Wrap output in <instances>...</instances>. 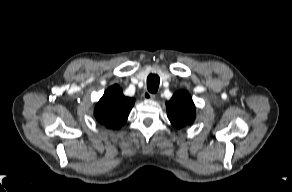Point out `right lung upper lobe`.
Masks as SVG:
<instances>
[{"mask_svg":"<svg viewBox=\"0 0 292 192\" xmlns=\"http://www.w3.org/2000/svg\"><path fill=\"white\" fill-rule=\"evenodd\" d=\"M134 99L125 97L116 84L108 88L95 107L97 121L107 128L118 129L125 124Z\"/></svg>","mask_w":292,"mask_h":192,"instance_id":"obj_1","label":"right lung upper lobe"}]
</instances>
